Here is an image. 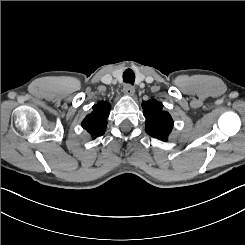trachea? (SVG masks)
<instances>
[{
  "instance_id": "trachea-1",
  "label": "trachea",
  "mask_w": 245,
  "mask_h": 245,
  "mask_svg": "<svg viewBox=\"0 0 245 245\" xmlns=\"http://www.w3.org/2000/svg\"><path fill=\"white\" fill-rule=\"evenodd\" d=\"M135 74L132 69L128 68L123 73V81L125 83L134 84Z\"/></svg>"
}]
</instances>
